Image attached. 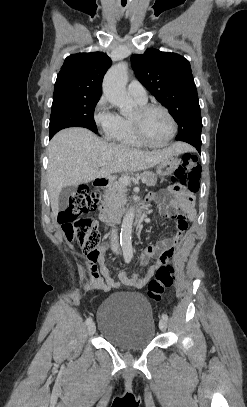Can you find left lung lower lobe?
<instances>
[{
    "mask_svg": "<svg viewBox=\"0 0 247 407\" xmlns=\"http://www.w3.org/2000/svg\"><path fill=\"white\" fill-rule=\"evenodd\" d=\"M179 141H184L194 146L201 153V135L184 136L179 138Z\"/></svg>",
    "mask_w": 247,
    "mask_h": 407,
    "instance_id": "0a47b994",
    "label": "left lung lower lobe"
}]
</instances>
